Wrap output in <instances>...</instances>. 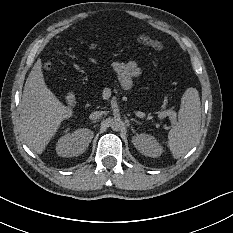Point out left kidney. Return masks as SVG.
Returning <instances> with one entry per match:
<instances>
[{
    "mask_svg": "<svg viewBox=\"0 0 233 233\" xmlns=\"http://www.w3.org/2000/svg\"><path fill=\"white\" fill-rule=\"evenodd\" d=\"M132 143L144 156L157 158L165 153V147L159 143L158 139L151 134H146L145 132L132 136Z\"/></svg>",
    "mask_w": 233,
    "mask_h": 233,
    "instance_id": "left-kidney-1",
    "label": "left kidney"
}]
</instances>
